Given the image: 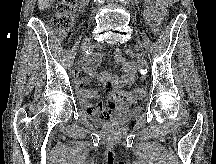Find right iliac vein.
<instances>
[{"label":"right iliac vein","instance_id":"63e3f726","mask_svg":"<svg viewBox=\"0 0 216 164\" xmlns=\"http://www.w3.org/2000/svg\"><path fill=\"white\" fill-rule=\"evenodd\" d=\"M88 45H89V41H87L84 46H83V51H85L87 48H88Z\"/></svg>","mask_w":216,"mask_h":164}]
</instances>
